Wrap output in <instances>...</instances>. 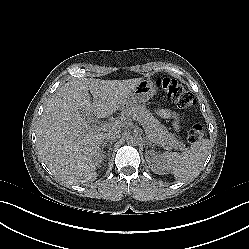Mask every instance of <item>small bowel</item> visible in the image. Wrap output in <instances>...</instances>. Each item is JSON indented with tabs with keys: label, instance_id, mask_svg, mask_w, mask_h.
I'll list each match as a JSON object with an SVG mask.
<instances>
[{
	"label": "small bowel",
	"instance_id": "obj_1",
	"mask_svg": "<svg viewBox=\"0 0 249 249\" xmlns=\"http://www.w3.org/2000/svg\"><path fill=\"white\" fill-rule=\"evenodd\" d=\"M159 116L162 118H173L175 117V113L166 109H162L159 111Z\"/></svg>",
	"mask_w": 249,
	"mask_h": 249
}]
</instances>
